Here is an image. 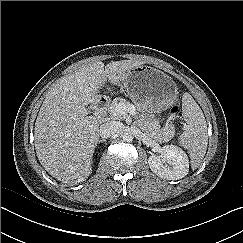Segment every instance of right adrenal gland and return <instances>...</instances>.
Masks as SVG:
<instances>
[{
	"mask_svg": "<svg viewBox=\"0 0 243 243\" xmlns=\"http://www.w3.org/2000/svg\"><path fill=\"white\" fill-rule=\"evenodd\" d=\"M101 142H106V139H100V140H98V143H101Z\"/></svg>",
	"mask_w": 243,
	"mask_h": 243,
	"instance_id": "2a0ac1e0",
	"label": "right adrenal gland"
}]
</instances>
